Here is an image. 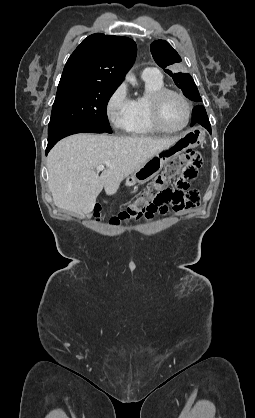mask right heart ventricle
I'll use <instances>...</instances> for the list:
<instances>
[{"label": "right heart ventricle", "instance_id": "1", "mask_svg": "<svg viewBox=\"0 0 255 418\" xmlns=\"http://www.w3.org/2000/svg\"><path fill=\"white\" fill-rule=\"evenodd\" d=\"M146 93L144 96L133 100V113L129 129L132 135H152L159 132L152 124L149 114V98L150 96L164 88V82L159 80H144Z\"/></svg>", "mask_w": 255, "mask_h": 418}]
</instances>
